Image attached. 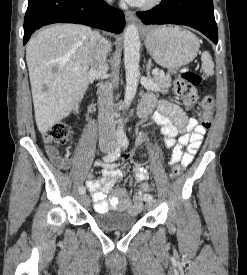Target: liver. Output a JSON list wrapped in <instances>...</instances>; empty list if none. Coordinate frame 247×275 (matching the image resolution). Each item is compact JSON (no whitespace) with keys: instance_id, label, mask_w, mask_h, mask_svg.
<instances>
[{"instance_id":"1","label":"liver","mask_w":247,"mask_h":275,"mask_svg":"<svg viewBox=\"0 0 247 275\" xmlns=\"http://www.w3.org/2000/svg\"><path fill=\"white\" fill-rule=\"evenodd\" d=\"M92 33L84 25L56 24L27 44L35 120L42 134L68 116L88 88Z\"/></svg>"}]
</instances>
